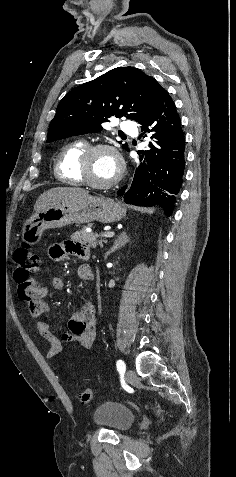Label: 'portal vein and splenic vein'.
<instances>
[{"label": "portal vein and splenic vein", "mask_w": 236, "mask_h": 477, "mask_svg": "<svg viewBox=\"0 0 236 477\" xmlns=\"http://www.w3.org/2000/svg\"><path fill=\"white\" fill-rule=\"evenodd\" d=\"M115 235L113 231L103 233L102 236L105 238H112Z\"/></svg>", "instance_id": "portal-vein-and-splenic-vein-1"}]
</instances>
